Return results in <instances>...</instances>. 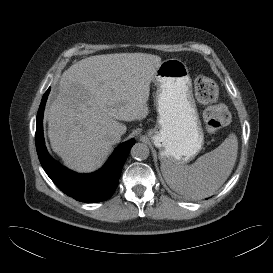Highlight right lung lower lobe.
Instances as JSON below:
<instances>
[{
    "label": "right lung lower lobe",
    "mask_w": 273,
    "mask_h": 273,
    "mask_svg": "<svg viewBox=\"0 0 273 273\" xmlns=\"http://www.w3.org/2000/svg\"><path fill=\"white\" fill-rule=\"evenodd\" d=\"M50 88L44 94L37 114L36 148L41 165L54 184L77 201L95 203L107 200L115 191L123 164L135 140L119 145L106 164L92 174H78L61 166L48 153L43 136V113Z\"/></svg>",
    "instance_id": "98d812e1"
}]
</instances>
